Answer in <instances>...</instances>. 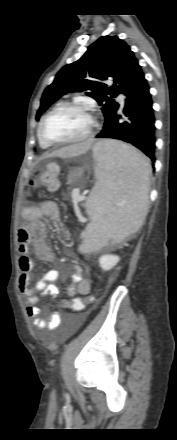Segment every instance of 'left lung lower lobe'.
Masks as SVG:
<instances>
[{"instance_id": "obj_1", "label": "left lung lower lobe", "mask_w": 177, "mask_h": 440, "mask_svg": "<svg viewBox=\"0 0 177 440\" xmlns=\"http://www.w3.org/2000/svg\"><path fill=\"white\" fill-rule=\"evenodd\" d=\"M125 96L127 98L122 115L118 113V105L96 137L113 138L132 144L149 157L154 167L155 117L149 85L142 71Z\"/></svg>"}]
</instances>
